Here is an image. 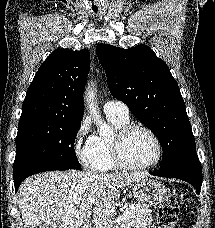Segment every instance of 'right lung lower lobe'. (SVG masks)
Segmentation results:
<instances>
[{
  "instance_id": "right-lung-lower-lobe-1",
  "label": "right lung lower lobe",
  "mask_w": 215,
  "mask_h": 228,
  "mask_svg": "<svg viewBox=\"0 0 215 228\" xmlns=\"http://www.w3.org/2000/svg\"><path fill=\"white\" fill-rule=\"evenodd\" d=\"M51 170H71L70 168L60 167V166H51V165H42V166H33L21 169L19 171L14 172V186L15 192H17L21 182L36 173L44 172V171H51Z\"/></svg>"
}]
</instances>
